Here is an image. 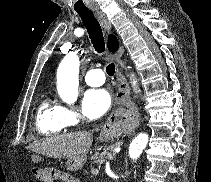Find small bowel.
<instances>
[{
  "label": "small bowel",
  "mask_w": 211,
  "mask_h": 182,
  "mask_svg": "<svg viewBox=\"0 0 211 182\" xmlns=\"http://www.w3.org/2000/svg\"><path fill=\"white\" fill-rule=\"evenodd\" d=\"M41 173H43V172L41 171ZM65 182H79V180L70 175H67V180Z\"/></svg>",
  "instance_id": "obj_1"
}]
</instances>
